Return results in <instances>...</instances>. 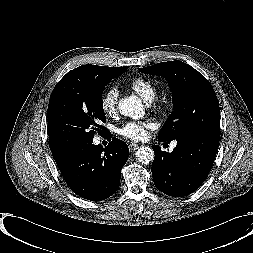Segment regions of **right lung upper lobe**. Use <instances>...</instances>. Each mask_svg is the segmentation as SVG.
Instances as JSON below:
<instances>
[{
	"label": "right lung upper lobe",
	"mask_w": 253,
	"mask_h": 253,
	"mask_svg": "<svg viewBox=\"0 0 253 253\" xmlns=\"http://www.w3.org/2000/svg\"><path fill=\"white\" fill-rule=\"evenodd\" d=\"M110 67H105V66H97V65H82L80 67H77L69 72H75V71H80L84 69H90V70H97V71H102L109 69ZM50 149L53 155V158L58 166H61L67 157L73 152V151H63L58 148H56L53 145H50Z\"/></svg>",
	"instance_id": "1"
}]
</instances>
